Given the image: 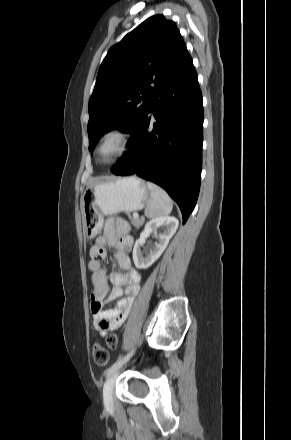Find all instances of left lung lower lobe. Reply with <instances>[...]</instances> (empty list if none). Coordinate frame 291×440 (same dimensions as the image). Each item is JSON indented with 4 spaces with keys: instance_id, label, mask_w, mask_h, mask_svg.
Instances as JSON below:
<instances>
[{
    "instance_id": "0a47b994",
    "label": "left lung lower lobe",
    "mask_w": 291,
    "mask_h": 440,
    "mask_svg": "<svg viewBox=\"0 0 291 440\" xmlns=\"http://www.w3.org/2000/svg\"><path fill=\"white\" fill-rule=\"evenodd\" d=\"M202 143V94L187 52L152 96L127 144L130 150L111 172L136 174L164 188L179 205L185 223L199 194Z\"/></svg>"
}]
</instances>
